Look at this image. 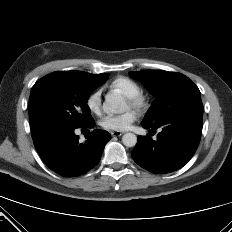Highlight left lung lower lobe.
<instances>
[{
  "mask_svg": "<svg viewBox=\"0 0 232 232\" xmlns=\"http://www.w3.org/2000/svg\"><path fill=\"white\" fill-rule=\"evenodd\" d=\"M142 126L151 131L159 127L157 139L138 136L132 151L134 161L142 168L164 174L182 168L194 155L200 141L203 124L202 110L180 113L158 125L142 121Z\"/></svg>",
  "mask_w": 232,
  "mask_h": 232,
  "instance_id": "1",
  "label": "left lung lower lobe"
}]
</instances>
